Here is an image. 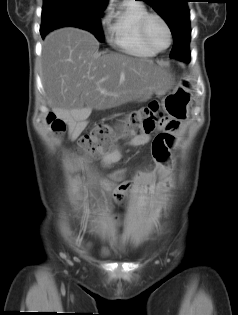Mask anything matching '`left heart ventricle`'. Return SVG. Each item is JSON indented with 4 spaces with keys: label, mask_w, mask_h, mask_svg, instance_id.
Masks as SVG:
<instances>
[{
    "label": "left heart ventricle",
    "mask_w": 238,
    "mask_h": 315,
    "mask_svg": "<svg viewBox=\"0 0 238 315\" xmlns=\"http://www.w3.org/2000/svg\"><path fill=\"white\" fill-rule=\"evenodd\" d=\"M148 37L150 41L158 48H164L168 43V35L163 24L153 19L148 25Z\"/></svg>",
    "instance_id": "obj_1"
}]
</instances>
